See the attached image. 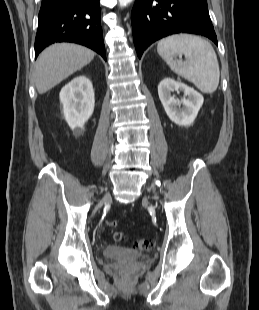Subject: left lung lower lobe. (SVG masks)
<instances>
[{"instance_id":"1","label":"left lung lower lobe","mask_w":259,"mask_h":310,"mask_svg":"<svg viewBox=\"0 0 259 310\" xmlns=\"http://www.w3.org/2000/svg\"><path fill=\"white\" fill-rule=\"evenodd\" d=\"M137 55L156 40L175 33H194L218 45L206 0H136L131 13Z\"/></svg>"}]
</instances>
